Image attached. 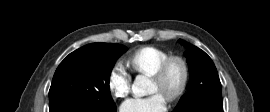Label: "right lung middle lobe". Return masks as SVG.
Returning a JSON list of instances; mask_svg holds the SVG:
<instances>
[{"mask_svg": "<svg viewBox=\"0 0 270 112\" xmlns=\"http://www.w3.org/2000/svg\"><path fill=\"white\" fill-rule=\"evenodd\" d=\"M127 49L114 43H93L70 53L55 71L49 90V107L90 101L102 107L115 103L109 77L115 60Z\"/></svg>", "mask_w": 270, "mask_h": 112, "instance_id": "obj_1", "label": "right lung middle lobe"}]
</instances>
